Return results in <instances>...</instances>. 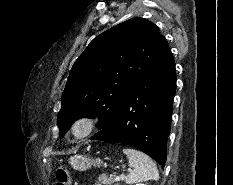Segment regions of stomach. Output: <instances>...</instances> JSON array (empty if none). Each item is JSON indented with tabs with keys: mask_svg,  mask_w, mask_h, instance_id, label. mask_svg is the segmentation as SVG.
Segmentation results:
<instances>
[{
	"mask_svg": "<svg viewBox=\"0 0 233 185\" xmlns=\"http://www.w3.org/2000/svg\"><path fill=\"white\" fill-rule=\"evenodd\" d=\"M69 163L75 170L85 171L91 166H100L103 162L100 159H93L83 155H74L70 157Z\"/></svg>",
	"mask_w": 233,
	"mask_h": 185,
	"instance_id": "0dacf381",
	"label": "stomach"
}]
</instances>
